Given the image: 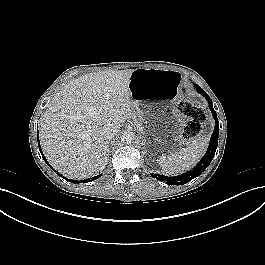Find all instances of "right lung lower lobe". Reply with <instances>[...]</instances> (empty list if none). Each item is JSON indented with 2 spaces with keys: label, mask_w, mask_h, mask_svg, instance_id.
<instances>
[{
  "label": "right lung lower lobe",
  "mask_w": 265,
  "mask_h": 265,
  "mask_svg": "<svg viewBox=\"0 0 265 265\" xmlns=\"http://www.w3.org/2000/svg\"><path fill=\"white\" fill-rule=\"evenodd\" d=\"M38 146H39V150H40V153H41V155H42V157H43V159H44V161L47 163V160H46V158L44 157V155H43V153H42V151H41V148H40V144H39V136H38ZM48 164V163H47ZM49 165V164H48ZM50 166V165H49ZM53 169V168H52ZM54 170V169H53ZM57 174H59V172H57ZM59 176H61V177H63L61 174H59ZM101 175H97V176H94V177H92V178H89V179H86V180H81V181H77V180H69V179H66V180H69V182H72V183H81V182H91V181H93V180H95V179H97V178H99ZM64 178V177H63Z\"/></svg>",
  "instance_id": "right-lung-lower-lobe-1"
}]
</instances>
